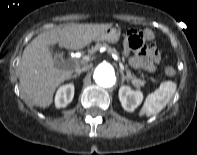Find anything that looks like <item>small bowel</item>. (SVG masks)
I'll use <instances>...</instances> for the list:
<instances>
[{
    "label": "small bowel",
    "instance_id": "obj_1",
    "mask_svg": "<svg viewBox=\"0 0 197 155\" xmlns=\"http://www.w3.org/2000/svg\"><path fill=\"white\" fill-rule=\"evenodd\" d=\"M148 33L152 38V34L150 32ZM124 53L128 58L129 64L135 69L147 71L154 70L160 62V56L155 47H152L150 50L140 53L139 55H131L127 38Z\"/></svg>",
    "mask_w": 197,
    "mask_h": 155
}]
</instances>
